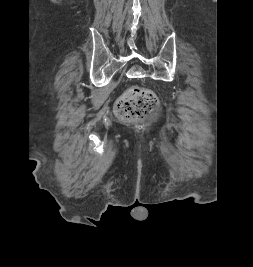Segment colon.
<instances>
[{
  "instance_id": "colon-1",
  "label": "colon",
  "mask_w": 253,
  "mask_h": 267,
  "mask_svg": "<svg viewBox=\"0 0 253 267\" xmlns=\"http://www.w3.org/2000/svg\"><path fill=\"white\" fill-rule=\"evenodd\" d=\"M158 108L155 93L147 88L134 86L125 91L117 100V116L126 121L143 119L153 114Z\"/></svg>"
}]
</instances>
